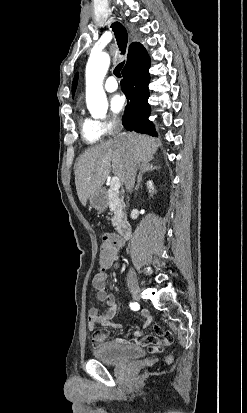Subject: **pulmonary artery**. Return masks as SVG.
I'll return each mask as SVG.
<instances>
[{"label":"pulmonary artery","mask_w":247,"mask_h":413,"mask_svg":"<svg viewBox=\"0 0 247 413\" xmlns=\"http://www.w3.org/2000/svg\"><path fill=\"white\" fill-rule=\"evenodd\" d=\"M104 88L107 92H114L118 89V82L114 77H108L104 83Z\"/></svg>","instance_id":"1"}]
</instances>
